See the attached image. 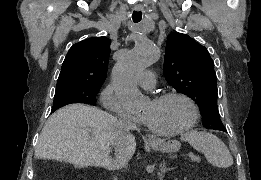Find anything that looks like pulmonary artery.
Segmentation results:
<instances>
[{"label": "pulmonary artery", "mask_w": 261, "mask_h": 180, "mask_svg": "<svg viewBox=\"0 0 261 180\" xmlns=\"http://www.w3.org/2000/svg\"><path fill=\"white\" fill-rule=\"evenodd\" d=\"M140 88H155L156 74L150 69H145L138 77Z\"/></svg>", "instance_id": "obj_1"}]
</instances>
